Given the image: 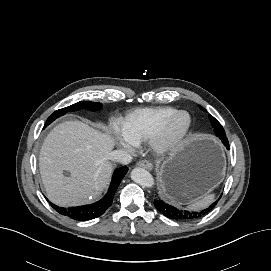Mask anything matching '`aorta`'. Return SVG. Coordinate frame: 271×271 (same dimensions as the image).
<instances>
[{
	"label": "aorta",
	"instance_id": "obj_1",
	"mask_svg": "<svg viewBox=\"0 0 271 271\" xmlns=\"http://www.w3.org/2000/svg\"><path fill=\"white\" fill-rule=\"evenodd\" d=\"M131 179L143 186V187H147V188H151L154 185V178L153 176L144 168H134L131 171Z\"/></svg>",
	"mask_w": 271,
	"mask_h": 271
}]
</instances>
